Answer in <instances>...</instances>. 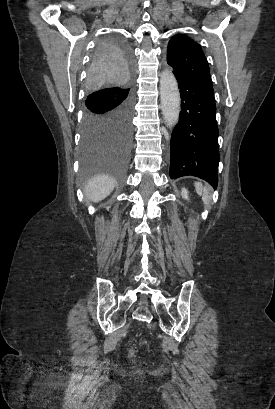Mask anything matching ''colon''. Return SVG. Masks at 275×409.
Segmentation results:
<instances>
[{
    "instance_id": "1",
    "label": "colon",
    "mask_w": 275,
    "mask_h": 409,
    "mask_svg": "<svg viewBox=\"0 0 275 409\" xmlns=\"http://www.w3.org/2000/svg\"><path fill=\"white\" fill-rule=\"evenodd\" d=\"M135 353H136V350L132 349L130 354H131V356H133Z\"/></svg>"
}]
</instances>
